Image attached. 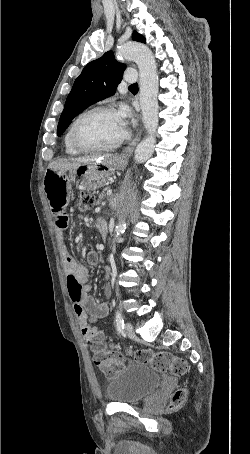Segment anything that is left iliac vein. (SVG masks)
I'll return each instance as SVG.
<instances>
[{"label": "left iliac vein", "instance_id": "4c4485c4", "mask_svg": "<svg viewBox=\"0 0 250 454\" xmlns=\"http://www.w3.org/2000/svg\"><path fill=\"white\" fill-rule=\"evenodd\" d=\"M125 333L128 337L133 338L135 337V331L131 323L127 322L125 324Z\"/></svg>", "mask_w": 250, "mask_h": 454}]
</instances>
